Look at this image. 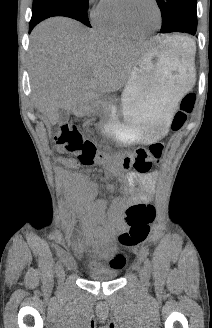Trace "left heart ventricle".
Segmentation results:
<instances>
[{"label":"left heart ventricle","instance_id":"left-heart-ventricle-1","mask_svg":"<svg viewBox=\"0 0 212 328\" xmlns=\"http://www.w3.org/2000/svg\"><path fill=\"white\" fill-rule=\"evenodd\" d=\"M126 7L131 22L137 28L149 30L158 24V14L151 0H128Z\"/></svg>","mask_w":212,"mask_h":328}]
</instances>
